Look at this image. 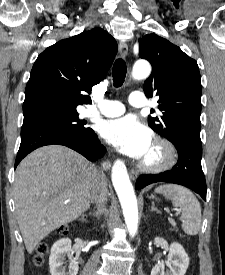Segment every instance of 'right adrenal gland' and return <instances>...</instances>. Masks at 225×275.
Here are the masks:
<instances>
[{
    "label": "right adrenal gland",
    "instance_id": "1",
    "mask_svg": "<svg viewBox=\"0 0 225 275\" xmlns=\"http://www.w3.org/2000/svg\"><path fill=\"white\" fill-rule=\"evenodd\" d=\"M100 212L99 211H96V212H91L90 215H92L93 217L95 218H99L100 217Z\"/></svg>",
    "mask_w": 225,
    "mask_h": 275
}]
</instances>
